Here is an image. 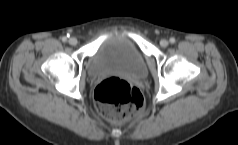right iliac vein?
<instances>
[{
  "label": "right iliac vein",
  "mask_w": 238,
  "mask_h": 145,
  "mask_svg": "<svg viewBox=\"0 0 238 145\" xmlns=\"http://www.w3.org/2000/svg\"><path fill=\"white\" fill-rule=\"evenodd\" d=\"M78 41L76 38L72 37L69 39V44L72 45V46H75L77 45Z\"/></svg>",
  "instance_id": "1"
}]
</instances>
